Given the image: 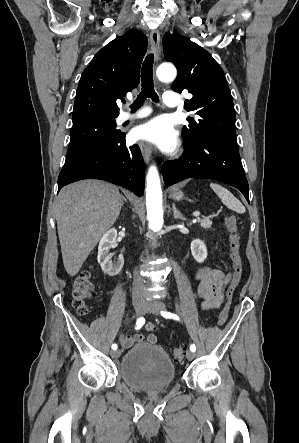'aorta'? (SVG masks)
<instances>
[{
  "label": "aorta",
  "instance_id": "aorta-1",
  "mask_svg": "<svg viewBox=\"0 0 299 443\" xmlns=\"http://www.w3.org/2000/svg\"><path fill=\"white\" fill-rule=\"evenodd\" d=\"M156 75L160 81L169 82L177 75L176 68L171 64H162L157 68ZM163 196L161 182L156 166H151L146 177V208L148 226L151 233L156 234L163 227Z\"/></svg>",
  "mask_w": 299,
  "mask_h": 443
}]
</instances>
